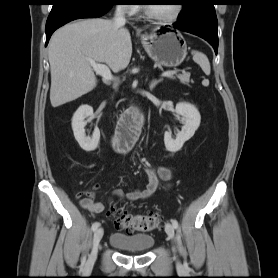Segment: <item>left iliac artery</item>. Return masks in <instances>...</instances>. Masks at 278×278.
Segmentation results:
<instances>
[{
  "instance_id": "44dca946",
  "label": "left iliac artery",
  "mask_w": 278,
  "mask_h": 278,
  "mask_svg": "<svg viewBox=\"0 0 278 278\" xmlns=\"http://www.w3.org/2000/svg\"><path fill=\"white\" fill-rule=\"evenodd\" d=\"M174 228H178V221L176 219L171 220Z\"/></svg>"
}]
</instances>
